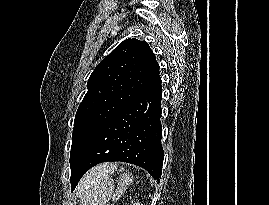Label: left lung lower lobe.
I'll use <instances>...</instances> for the list:
<instances>
[{"instance_id":"1","label":"left lung lower lobe","mask_w":269,"mask_h":205,"mask_svg":"<svg viewBox=\"0 0 269 205\" xmlns=\"http://www.w3.org/2000/svg\"><path fill=\"white\" fill-rule=\"evenodd\" d=\"M161 99L159 75L99 130L71 173L72 191L90 168L107 161L137 165L159 181L164 159Z\"/></svg>"}]
</instances>
